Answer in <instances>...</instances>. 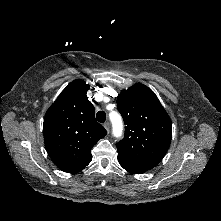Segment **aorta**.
<instances>
[{"label":"aorta","mask_w":221,"mask_h":221,"mask_svg":"<svg viewBox=\"0 0 221 221\" xmlns=\"http://www.w3.org/2000/svg\"><path fill=\"white\" fill-rule=\"evenodd\" d=\"M110 119L113 125V134L115 137H120L123 131V123L118 113H112Z\"/></svg>","instance_id":"762f6f07"}]
</instances>
